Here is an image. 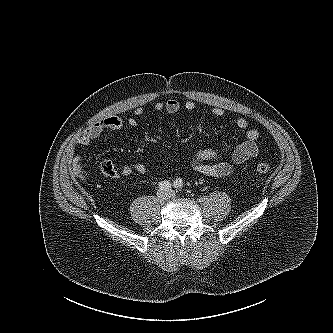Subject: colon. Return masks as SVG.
<instances>
[{"instance_id":"colon-1","label":"colon","mask_w":333,"mask_h":333,"mask_svg":"<svg viewBox=\"0 0 333 333\" xmlns=\"http://www.w3.org/2000/svg\"><path fill=\"white\" fill-rule=\"evenodd\" d=\"M254 168L258 173L265 174L272 170V165L264 159H258L254 163Z\"/></svg>"}]
</instances>
